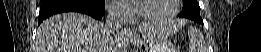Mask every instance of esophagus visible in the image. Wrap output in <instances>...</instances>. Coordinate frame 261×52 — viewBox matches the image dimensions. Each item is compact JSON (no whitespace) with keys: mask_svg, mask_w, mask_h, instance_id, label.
Returning a JSON list of instances; mask_svg holds the SVG:
<instances>
[{"mask_svg":"<svg viewBox=\"0 0 261 52\" xmlns=\"http://www.w3.org/2000/svg\"><path fill=\"white\" fill-rule=\"evenodd\" d=\"M123 33L125 34V35H132V31H131V29L130 28H124V30H123Z\"/></svg>","mask_w":261,"mask_h":52,"instance_id":"1","label":"esophagus"}]
</instances>
